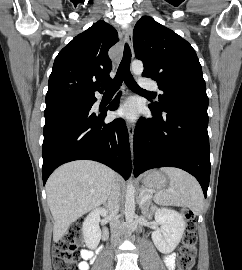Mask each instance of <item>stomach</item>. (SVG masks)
I'll return each instance as SVG.
<instances>
[{
    "mask_svg": "<svg viewBox=\"0 0 242 270\" xmlns=\"http://www.w3.org/2000/svg\"><path fill=\"white\" fill-rule=\"evenodd\" d=\"M142 182L145 191L151 193L164 188L167 184V178L160 171H152L143 178Z\"/></svg>",
    "mask_w": 242,
    "mask_h": 270,
    "instance_id": "1",
    "label": "stomach"
}]
</instances>
